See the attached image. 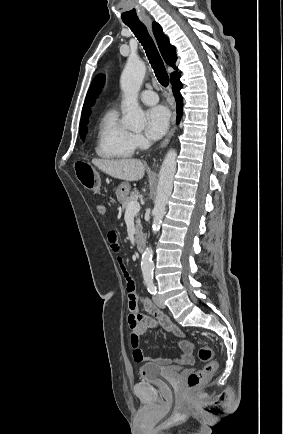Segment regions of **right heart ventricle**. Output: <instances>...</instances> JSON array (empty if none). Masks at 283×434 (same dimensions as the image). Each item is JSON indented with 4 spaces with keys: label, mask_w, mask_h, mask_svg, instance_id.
Instances as JSON below:
<instances>
[{
    "label": "right heart ventricle",
    "mask_w": 283,
    "mask_h": 434,
    "mask_svg": "<svg viewBox=\"0 0 283 434\" xmlns=\"http://www.w3.org/2000/svg\"><path fill=\"white\" fill-rule=\"evenodd\" d=\"M132 133L119 121L115 109L107 111L100 120L95 151L105 159H126L133 155Z\"/></svg>",
    "instance_id": "1"
}]
</instances>
